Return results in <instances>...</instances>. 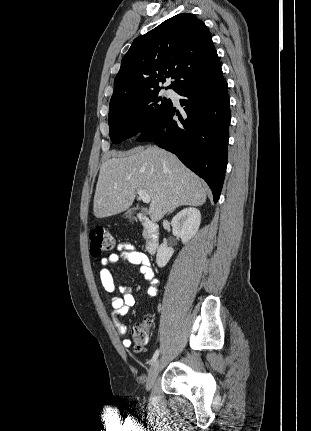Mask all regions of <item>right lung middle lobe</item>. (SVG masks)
Instances as JSON below:
<instances>
[{
  "label": "right lung middle lobe",
  "instance_id": "1",
  "mask_svg": "<svg viewBox=\"0 0 311 431\" xmlns=\"http://www.w3.org/2000/svg\"><path fill=\"white\" fill-rule=\"evenodd\" d=\"M159 91H145L111 99L108 123L113 143H120L136 134L131 126L135 113H141V131L172 105L171 100L161 97Z\"/></svg>",
  "mask_w": 311,
  "mask_h": 431
}]
</instances>
